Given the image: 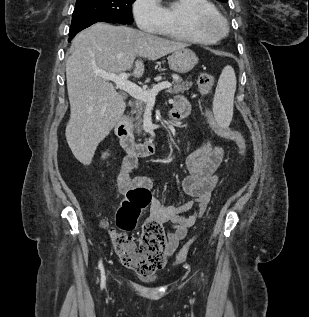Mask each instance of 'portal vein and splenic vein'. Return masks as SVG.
I'll list each match as a JSON object with an SVG mask.
<instances>
[{"mask_svg": "<svg viewBox=\"0 0 309 317\" xmlns=\"http://www.w3.org/2000/svg\"><path fill=\"white\" fill-rule=\"evenodd\" d=\"M95 73L104 79L113 81L117 88L126 91L133 98L144 101L148 105L155 104V97L159 91L171 87V83L162 82L155 85L151 90H143L141 87L128 80V77L130 76L129 73L123 72L120 74H112L102 71H95Z\"/></svg>", "mask_w": 309, "mask_h": 317, "instance_id": "obj_1", "label": "portal vein and splenic vein"}]
</instances>
